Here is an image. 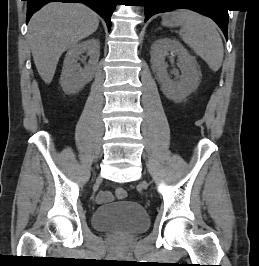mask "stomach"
Returning a JSON list of instances; mask_svg holds the SVG:
<instances>
[{
  "label": "stomach",
  "instance_id": "1",
  "mask_svg": "<svg viewBox=\"0 0 259 266\" xmlns=\"http://www.w3.org/2000/svg\"><path fill=\"white\" fill-rule=\"evenodd\" d=\"M176 12L165 13L162 17V24L170 27L182 25L183 21L177 16Z\"/></svg>",
  "mask_w": 259,
  "mask_h": 266
}]
</instances>
